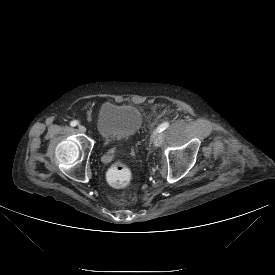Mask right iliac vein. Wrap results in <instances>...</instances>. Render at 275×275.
<instances>
[{"label":"right iliac vein","instance_id":"right-iliac-vein-1","mask_svg":"<svg viewBox=\"0 0 275 275\" xmlns=\"http://www.w3.org/2000/svg\"><path fill=\"white\" fill-rule=\"evenodd\" d=\"M78 129H79L80 132H83V133L86 132V128L83 125H79Z\"/></svg>","mask_w":275,"mask_h":275}]
</instances>
